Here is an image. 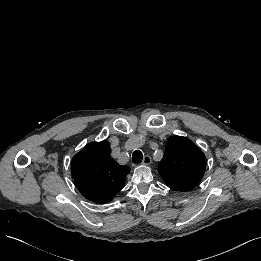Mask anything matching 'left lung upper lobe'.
I'll list each match as a JSON object with an SVG mask.
<instances>
[{
	"mask_svg": "<svg viewBox=\"0 0 261 261\" xmlns=\"http://www.w3.org/2000/svg\"><path fill=\"white\" fill-rule=\"evenodd\" d=\"M205 168L204 153L190 139L182 136L167 139L158 172L168 187L181 192L192 190L202 180Z\"/></svg>",
	"mask_w": 261,
	"mask_h": 261,
	"instance_id": "1",
	"label": "left lung upper lobe"
}]
</instances>
